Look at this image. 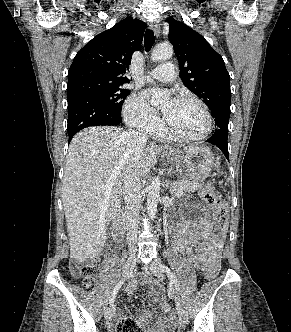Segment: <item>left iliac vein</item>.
<instances>
[{"mask_svg": "<svg viewBox=\"0 0 291 332\" xmlns=\"http://www.w3.org/2000/svg\"><path fill=\"white\" fill-rule=\"evenodd\" d=\"M161 265H162V262L160 259H155L153 261V263L151 264V271L157 277L164 276ZM173 298L175 299V301L177 303V311H178L179 319H180L181 323L185 324L188 320L187 311L175 290H173Z\"/></svg>", "mask_w": 291, "mask_h": 332, "instance_id": "left-iliac-vein-1", "label": "left iliac vein"}]
</instances>
